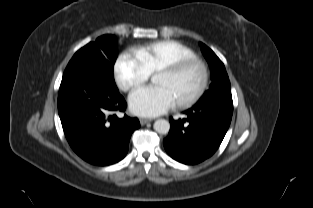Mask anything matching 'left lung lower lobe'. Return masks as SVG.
I'll list each match as a JSON object with an SVG mask.
<instances>
[{"label": "left lung lower lobe", "instance_id": "0a47b994", "mask_svg": "<svg viewBox=\"0 0 313 208\" xmlns=\"http://www.w3.org/2000/svg\"><path fill=\"white\" fill-rule=\"evenodd\" d=\"M186 119L170 118V131L163 144L167 153L184 164H197L212 156L231 123L233 102L212 98L197 102L184 112Z\"/></svg>", "mask_w": 313, "mask_h": 208}]
</instances>
